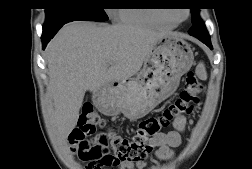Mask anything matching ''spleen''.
Wrapping results in <instances>:
<instances>
[{
	"mask_svg": "<svg viewBox=\"0 0 252 169\" xmlns=\"http://www.w3.org/2000/svg\"><path fill=\"white\" fill-rule=\"evenodd\" d=\"M196 74L202 80L207 79V74H206L205 66L203 63L198 64V66L196 68Z\"/></svg>",
	"mask_w": 252,
	"mask_h": 169,
	"instance_id": "1",
	"label": "spleen"
}]
</instances>
